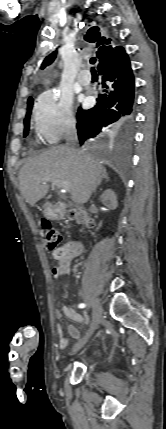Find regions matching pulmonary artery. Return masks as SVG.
<instances>
[{
	"instance_id": "pulmonary-artery-1",
	"label": "pulmonary artery",
	"mask_w": 166,
	"mask_h": 429,
	"mask_svg": "<svg viewBox=\"0 0 166 429\" xmlns=\"http://www.w3.org/2000/svg\"><path fill=\"white\" fill-rule=\"evenodd\" d=\"M83 73L88 74L89 72H88V70H87V69H85V70H83ZM78 82L80 83V85H82V86H86V85H88V84H89V77H82V76H79V77H78Z\"/></svg>"
}]
</instances>
